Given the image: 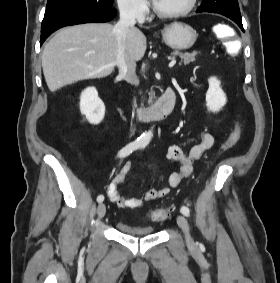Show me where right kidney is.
I'll list each match as a JSON object with an SVG mask.
<instances>
[{
    "mask_svg": "<svg viewBox=\"0 0 280 283\" xmlns=\"http://www.w3.org/2000/svg\"><path fill=\"white\" fill-rule=\"evenodd\" d=\"M80 111L91 124H99L105 115V105L94 87L86 88L80 96Z\"/></svg>",
    "mask_w": 280,
    "mask_h": 283,
    "instance_id": "obj_1",
    "label": "right kidney"
}]
</instances>
